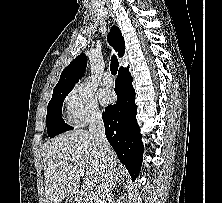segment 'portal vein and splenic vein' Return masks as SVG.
<instances>
[{"label":"portal vein and splenic vein","mask_w":222,"mask_h":203,"mask_svg":"<svg viewBox=\"0 0 222 203\" xmlns=\"http://www.w3.org/2000/svg\"><path fill=\"white\" fill-rule=\"evenodd\" d=\"M80 174H84V172L82 170H80ZM83 188L84 189H90V183L88 181H83Z\"/></svg>","instance_id":"portal-vein-and-splenic-vein-1"}]
</instances>
